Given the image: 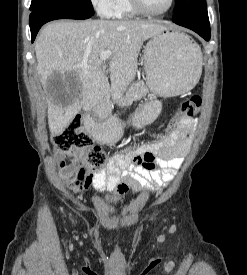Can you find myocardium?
Wrapping results in <instances>:
<instances>
[{
    "label": "myocardium",
    "mask_w": 247,
    "mask_h": 275,
    "mask_svg": "<svg viewBox=\"0 0 247 275\" xmlns=\"http://www.w3.org/2000/svg\"><path fill=\"white\" fill-rule=\"evenodd\" d=\"M133 7L141 14L147 16H160L168 13L174 6L175 0H170L168 7L162 11H152L144 3L143 0H130Z\"/></svg>",
    "instance_id": "f54148a6"
}]
</instances>
